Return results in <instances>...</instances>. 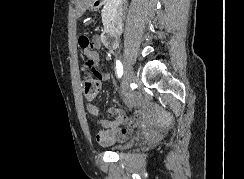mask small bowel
Segmentation results:
<instances>
[{"instance_id":"c3829d8e","label":"small bowel","mask_w":244,"mask_h":179,"mask_svg":"<svg viewBox=\"0 0 244 179\" xmlns=\"http://www.w3.org/2000/svg\"><path fill=\"white\" fill-rule=\"evenodd\" d=\"M79 45L83 54L87 58L84 68H98L100 66L99 51L105 47L102 37L99 34H84L80 37ZM100 77L103 81H106L110 76L108 72H102ZM126 100L135 109V115L130 118L127 117L122 110L118 108H110L108 113L114 115L115 118L112 121L106 119L100 120V125L106 128L105 130L100 131L97 135V140L100 144L110 146L121 141L133 127L140 123L141 115L143 113L140 104L136 103L130 97H127ZM86 108L88 113L91 115H99V109L97 106L88 104Z\"/></svg>"}]
</instances>
